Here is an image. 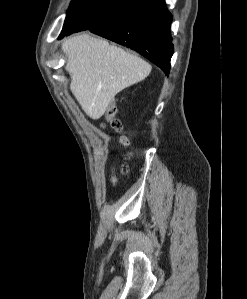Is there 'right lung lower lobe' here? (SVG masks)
<instances>
[{
  "mask_svg": "<svg viewBox=\"0 0 247 299\" xmlns=\"http://www.w3.org/2000/svg\"><path fill=\"white\" fill-rule=\"evenodd\" d=\"M171 22L165 0H135L117 17L89 30L137 51L168 74L173 55Z\"/></svg>",
  "mask_w": 247,
  "mask_h": 299,
  "instance_id": "1",
  "label": "right lung lower lobe"
}]
</instances>
